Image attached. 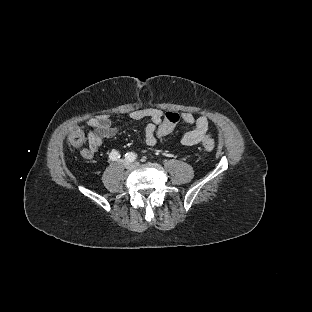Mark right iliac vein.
Returning <instances> with one entry per match:
<instances>
[{
    "mask_svg": "<svg viewBox=\"0 0 312 312\" xmlns=\"http://www.w3.org/2000/svg\"><path fill=\"white\" fill-rule=\"evenodd\" d=\"M123 165L126 167V168H129L131 166V162L126 160L123 162Z\"/></svg>",
    "mask_w": 312,
    "mask_h": 312,
    "instance_id": "63e3f726",
    "label": "right iliac vein"
}]
</instances>
